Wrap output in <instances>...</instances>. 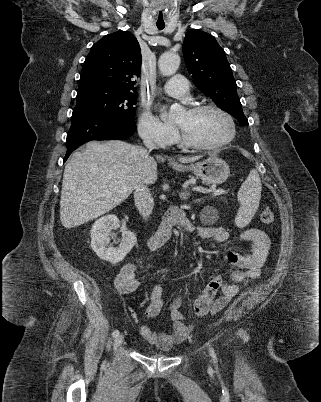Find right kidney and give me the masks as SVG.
Returning a JSON list of instances; mask_svg holds the SVG:
<instances>
[{
	"label": "right kidney",
	"instance_id": "obj_1",
	"mask_svg": "<svg viewBox=\"0 0 321 402\" xmlns=\"http://www.w3.org/2000/svg\"><path fill=\"white\" fill-rule=\"evenodd\" d=\"M118 227L119 219L115 215H106L96 220L90 230L92 250L100 259L112 264L122 261L137 241L134 233L126 231L119 247H109L111 231Z\"/></svg>",
	"mask_w": 321,
	"mask_h": 402
}]
</instances>
